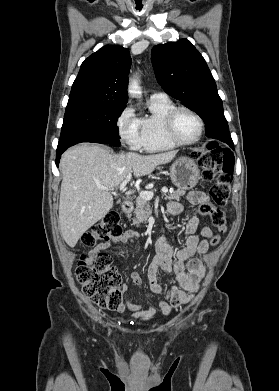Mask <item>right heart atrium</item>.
Returning <instances> with one entry per match:
<instances>
[{
    "instance_id": "d8ad5b80",
    "label": "right heart atrium",
    "mask_w": 279,
    "mask_h": 391,
    "mask_svg": "<svg viewBox=\"0 0 279 391\" xmlns=\"http://www.w3.org/2000/svg\"><path fill=\"white\" fill-rule=\"evenodd\" d=\"M116 129L121 142L133 150L140 148V124L133 107L125 106L116 118Z\"/></svg>"
}]
</instances>
